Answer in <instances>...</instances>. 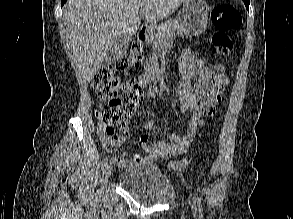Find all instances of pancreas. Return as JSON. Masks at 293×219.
Segmentation results:
<instances>
[{
  "label": "pancreas",
  "mask_w": 293,
  "mask_h": 219,
  "mask_svg": "<svg viewBox=\"0 0 293 219\" xmlns=\"http://www.w3.org/2000/svg\"><path fill=\"white\" fill-rule=\"evenodd\" d=\"M188 35L189 31L180 17L168 20L159 25L151 34L149 39V44L152 46L154 53L149 56V60L146 62V68L148 70L157 69L158 53L169 38Z\"/></svg>",
  "instance_id": "1"
}]
</instances>
